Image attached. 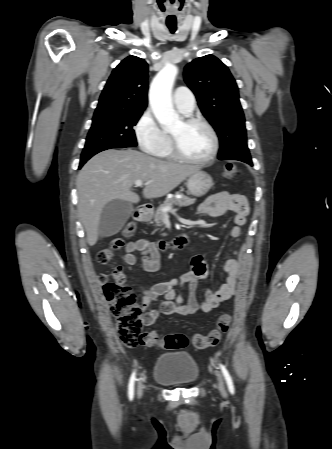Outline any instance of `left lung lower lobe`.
<instances>
[{
  "mask_svg": "<svg viewBox=\"0 0 332 449\" xmlns=\"http://www.w3.org/2000/svg\"><path fill=\"white\" fill-rule=\"evenodd\" d=\"M245 163H247V164L253 166L252 160H246Z\"/></svg>",
  "mask_w": 332,
  "mask_h": 449,
  "instance_id": "0a47b994",
  "label": "left lung lower lobe"
}]
</instances>
